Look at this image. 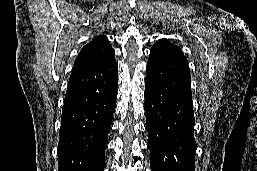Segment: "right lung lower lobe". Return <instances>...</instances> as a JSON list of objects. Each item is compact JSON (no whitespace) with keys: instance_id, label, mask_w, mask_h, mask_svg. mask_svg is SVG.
Here are the masks:
<instances>
[{"instance_id":"right-lung-lower-lobe-1","label":"right lung lower lobe","mask_w":257,"mask_h":171,"mask_svg":"<svg viewBox=\"0 0 257 171\" xmlns=\"http://www.w3.org/2000/svg\"><path fill=\"white\" fill-rule=\"evenodd\" d=\"M117 92L115 58L72 69L57 148L59 171H103Z\"/></svg>"}]
</instances>
